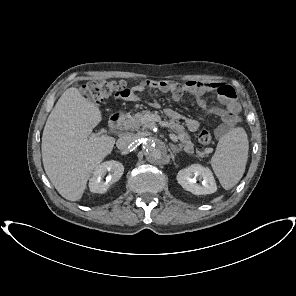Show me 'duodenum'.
I'll list each match as a JSON object with an SVG mask.
<instances>
[{
  "instance_id": "1",
  "label": "duodenum",
  "mask_w": 296,
  "mask_h": 296,
  "mask_svg": "<svg viewBox=\"0 0 296 296\" xmlns=\"http://www.w3.org/2000/svg\"><path fill=\"white\" fill-rule=\"evenodd\" d=\"M123 113H115L113 114L111 117H110V120H109V127L112 129V130H116L119 128L122 120H123Z\"/></svg>"
}]
</instances>
